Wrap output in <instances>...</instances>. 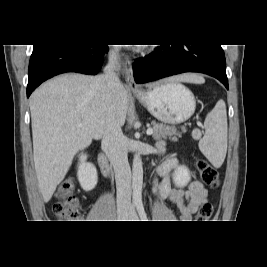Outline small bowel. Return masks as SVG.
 <instances>
[{
	"instance_id": "small-bowel-1",
	"label": "small bowel",
	"mask_w": 267,
	"mask_h": 267,
	"mask_svg": "<svg viewBox=\"0 0 267 267\" xmlns=\"http://www.w3.org/2000/svg\"><path fill=\"white\" fill-rule=\"evenodd\" d=\"M157 148L164 152V142H158ZM176 166L177 160L173 157L165 159L158 166L154 179V189L160 199H169L177 206L183 221H189L199 206L206 201L207 190L198 181L190 183L186 191L174 187L171 182V175Z\"/></svg>"
}]
</instances>
